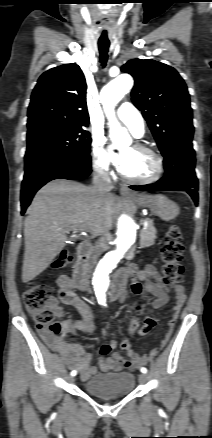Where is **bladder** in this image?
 <instances>
[{
  "instance_id": "bladder-1",
  "label": "bladder",
  "mask_w": 212,
  "mask_h": 438,
  "mask_svg": "<svg viewBox=\"0 0 212 438\" xmlns=\"http://www.w3.org/2000/svg\"><path fill=\"white\" fill-rule=\"evenodd\" d=\"M134 386L135 376L131 372L98 373L83 383L87 393L100 398L126 396Z\"/></svg>"
}]
</instances>
